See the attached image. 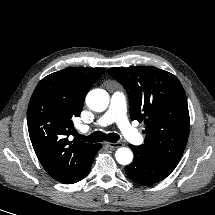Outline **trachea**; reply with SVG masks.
<instances>
[{
    "instance_id": "obj_1",
    "label": "trachea",
    "mask_w": 215,
    "mask_h": 215,
    "mask_svg": "<svg viewBox=\"0 0 215 215\" xmlns=\"http://www.w3.org/2000/svg\"><path fill=\"white\" fill-rule=\"evenodd\" d=\"M77 138L86 142H102L106 140L115 143L120 139V136L116 133L105 134L101 131H96L89 136L77 134Z\"/></svg>"
}]
</instances>
